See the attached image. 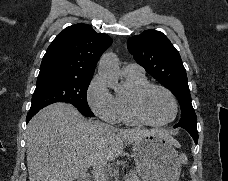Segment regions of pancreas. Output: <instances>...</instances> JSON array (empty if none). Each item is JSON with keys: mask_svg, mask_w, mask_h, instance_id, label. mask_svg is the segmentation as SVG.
Segmentation results:
<instances>
[{"mask_svg": "<svg viewBox=\"0 0 228 181\" xmlns=\"http://www.w3.org/2000/svg\"><path fill=\"white\" fill-rule=\"evenodd\" d=\"M125 179H127V181H139L136 171H130L129 175H127Z\"/></svg>", "mask_w": 228, "mask_h": 181, "instance_id": "obj_1", "label": "pancreas"}]
</instances>
